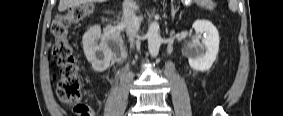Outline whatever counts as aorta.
Instances as JSON below:
<instances>
[{"label":"aorta","mask_w":283,"mask_h":116,"mask_svg":"<svg viewBox=\"0 0 283 116\" xmlns=\"http://www.w3.org/2000/svg\"><path fill=\"white\" fill-rule=\"evenodd\" d=\"M147 40L150 55L152 57H156L159 53V49L162 43V39L159 33V24L157 21L150 23L147 32Z\"/></svg>","instance_id":"obj_1"}]
</instances>
